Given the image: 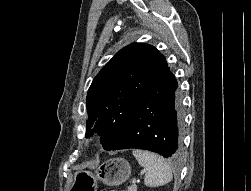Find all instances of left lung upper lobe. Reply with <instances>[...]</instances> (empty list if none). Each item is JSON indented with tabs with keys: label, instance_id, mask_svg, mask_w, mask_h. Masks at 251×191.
<instances>
[{
	"label": "left lung upper lobe",
	"instance_id": "5c2ea615",
	"mask_svg": "<svg viewBox=\"0 0 251 191\" xmlns=\"http://www.w3.org/2000/svg\"><path fill=\"white\" fill-rule=\"evenodd\" d=\"M166 68L165 57L149 44L133 43L116 53L88 90L86 137L93 132L102 134L103 148L109 151L139 101Z\"/></svg>",
	"mask_w": 251,
	"mask_h": 191
}]
</instances>
